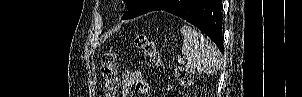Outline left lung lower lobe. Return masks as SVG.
Returning <instances> with one entry per match:
<instances>
[{
    "mask_svg": "<svg viewBox=\"0 0 302 97\" xmlns=\"http://www.w3.org/2000/svg\"><path fill=\"white\" fill-rule=\"evenodd\" d=\"M149 7L127 18L164 10L179 16L208 35L223 53L222 43V0H146Z\"/></svg>",
    "mask_w": 302,
    "mask_h": 97,
    "instance_id": "0a47b994",
    "label": "left lung lower lobe"
}]
</instances>
